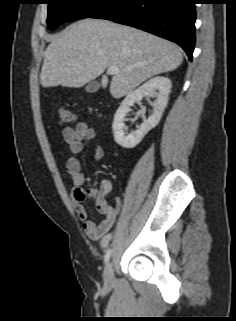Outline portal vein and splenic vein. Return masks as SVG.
<instances>
[{
	"mask_svg": "<svg viewBox=\"0 0 236 321\" xmlns=\"http://www.w3.org/2000/svg\"><path fill=\"white\" fill-rule=\"evenodd\" d=\"M119 72H120V70H119L118 67L111 66V67L108 68V73L111 74V75L118 74Z\"/></svg>",
	"mask_w": 236,
	"mask_h": 321,
	"instance_id": "1",
	"label": "portal vein and splenic vein"
}]
</instances>
